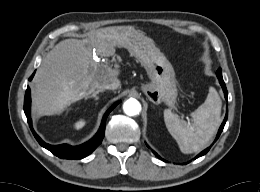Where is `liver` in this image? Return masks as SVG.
<instances>
[{
  "instance_id": "1",
  "label": "liver",
  "mask_w": 260,
  "mask_h": 192,
  "mask_svg": "<svg viewBox=\"0 0 260 192\" xmlns=\"http://www.w3.org/2000/svg\"><path fill=\"white\" fill-rule=\"evenodd\" d=\"M118 27L97 30L87 39H65L46 55L32 86L33 110L40 116L61 113L70 104L88 97L95 89L116 78L112 70L93 57L115 52L111 36Z\"/></svg>"
}]
</instances>
